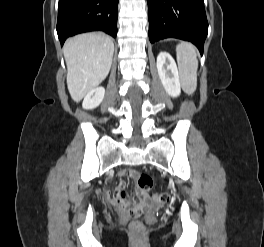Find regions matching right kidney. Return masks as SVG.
I'll return each instance as SVG.
<instances>
[{"label": "right kidney", "mask_w": 264, "mask_h": 247, "mask_svg": "<svg viewBox=\"0 0 264 247\" xmlns=\"http://www.w3.org/2000/svg\"><path fill=\"white\" fill-rule=\"evenodd\" d=\"M104 87H97L90 91L84 98L82 107L86 110L98 107L104 99Z\"/></svg>", "instance_id": "right-kidney-1"}]
</instances>
